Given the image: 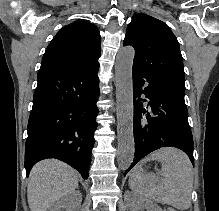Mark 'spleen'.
Here are the masks:
<instances>
[{
    "label": "spleen",
    "instance_id": "spleen-1",
    "mask_svg": "<svg viewBox=\"0 0 219 211\" xmlns=\"http://www.w3.org/2000/svg\"><path fill=\"white\" fill-rule=\"evenodd\" d=\"M150 159L161 161L162 169L144 173L141 165H135L128 179L132 191L176 209H188L193 189V167L188 155L177 147H161L143 161Z\"/></svg>",
    "mask_w": 219,
    "mask_h": 211
}]
</instances>
